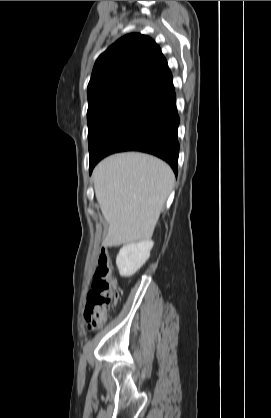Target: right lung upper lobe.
I'll use <instances>...</instances> for the list:
<instances>
[{
	"label": "right lung upper lobe",
	"instance_id": "right-lung-upper-lobe-1",
	"mask_svg": "<svg viewBox=\"0 0 271 418\" xmlns=\"http://www.w3.org/2000/svg\"><path fill=\"white\" fill-rule=\"evenodd\" d=\"M174 91L172 74L159 46L128 34L97 59L87 88L89 105L121 96L154 103Z\"/></svg>",
	"mask_w": 271,
	"mask_h": 418
}]
</instances>
